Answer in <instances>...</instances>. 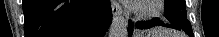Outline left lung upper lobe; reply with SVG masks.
Returning <instances> with one entry per match:
<instances>
[{
	"label": "left lung upper lobe",
	"instance_id": "5c2ea615",
	"mask_svg": "<svg viewBox=\"0 0 219 37\" xmlns=\"http://www.w3.org/2000/svg\"><path fill=\"white\" fill-rule=\"evenodd\" d=\"M164 14L173 26L185 33H193L191 24L187 19L185 0H165Z\"/></svg>",
	"mask_w": 219,
	"mask_h": 37
}]
</instances>
